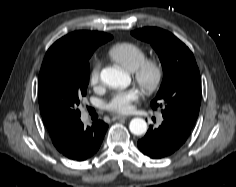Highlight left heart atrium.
I'll return each instance as SVG.
<instances>
[{
  "mask_svg": "<svg viewBox=\"0 0 236 187\" xmlns=\"http://www.w3.org/2000/svg\"><path fill=\"white\" fill-rule=\"evenodd\" d=\"M140 92L136 88L116 92L107 104L108 110L117 114L131 111L132 102L139 98Z\"/></svg>",
  "mask_w": 236,
  "mask_h": 187,
  "instance_id": "1",
  "label": "left heart atrium"
}]
</instances>
